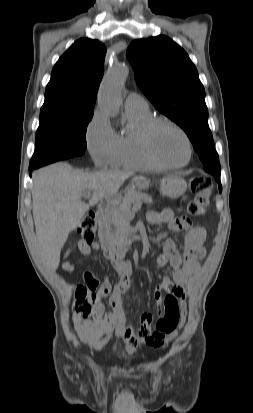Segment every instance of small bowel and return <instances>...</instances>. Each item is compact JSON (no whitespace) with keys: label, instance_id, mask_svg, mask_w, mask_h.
Masks as SVG:
<instances>
[{"label":"small bowel","instance_id":"1","mask_svg":"<svg viewBox=\"0 0 253 413\" xmlns=\"http://www.w3.org/2000/svg\"><path fill=\"white\" fill-rule=\"evenodd\" d=\"M147 219L153 225L165 226L170 230L185 233L182 252L175 242L168 238L157 260L159 266L169 265L172 268L171 276L163 277L153 292L154 299L162 310L163 292L171 293L180 299L185 297V286L189 278L199 270V259L205 254L206 230L202 226H192L190 220L185 217L176 218L174 211L170 208L150 211ZM78 248L82 254L88 256L92 251H99L101 246L98 242L86 244L80 241ZM66 257L67 255L64 257L62 267L71 272L74 266L66 260ZM106 257L111 260L117 272L116 284L112 287L108 275L99 284L96 277L89 271L84 273V279L88 285L98 286L102 298L111 293L109 298L111 311L105 312L103 303L99 301L92 318L73 315L72 323L79 339L84 345L97 351L104 349L111 341L118 338L124 339L129 353L136 352L142 345L161 346L164 343H158L153 337V318L150 314L145 313L141 316L138 329L133 327L124 314L123 295L130 286V264L107 255Z\"/></svg>","mask_w":253,"mask_h":413}]
</instances>
